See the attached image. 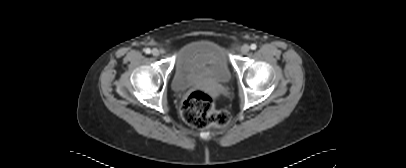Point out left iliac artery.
I'll return each mask as SVG.
<instances>
[{
    "instance_id": "44dca946",
    "label": "left iliac artery",
    "mask_w": 406,
    "mask_h": 168,
    "mask_svg": "<svg viewBox=\"0 0 406 168\" xmlns=\"http://www.w3.org/2000/svg\"><path fill=\"white\" fill-rule=\"evenodd\" d=\"M250 48H251L252 50H255V49L257 48V46H256V44H251Z\"/></svg>"
}]
</instances>
